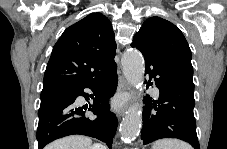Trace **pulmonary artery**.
<instances>
[{"label":"pulmonary artery","instance_id":"obj_1","mask_svg":"<svg viewBox=\"0 0 227 149\" xmlns=\"http://www.w3.org/2000/svg\"><path fill=\"white\" fill-rule=\"evenodd\" d=\"M155 93H158V89L157 88H154L153 90Z\"/></svg>","mask_w":227,"mask_h":149}]
</instances>
